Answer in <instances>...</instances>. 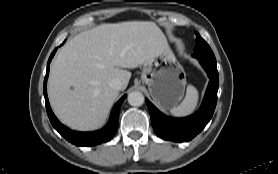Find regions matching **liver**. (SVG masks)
<instances>
[{"label": "liver", "mask_w": 278, "mask_h": 174, "mask_svg": "<svg viewBox=\"0 0 278 174\" xmlns=\"http://www.w3.org/2000/svg\"><path fill=\"white\" fill-rule=\"evenodd\" d=\"M170 48L162 30L151 21L101 24L81 32L58 52L48 80L51 107L59 120L72 129L101 127L119 91L110 87L114 78L126 89L131 72Z\"/></svg>", "instance_id": "obj_1"}]
</instances>
